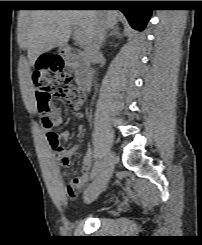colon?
Returning a JSON list of instances; mask_svg holds the SVG:
<instances>
[{
	"label": "colon",
	"mask_w": 202,
	"mask_h": 245,
	"mask_svg": "<svg viewBox=\"0 0 202 245\" xmlns=\"http://www.w3.org/2000/svg\"><path fill=\"white\" fill-rule=\"evenodd\" d=\"M33 82L36 107L44 126H50L53 122L51 111L54 96L65 100L71 113H77L81 109L80 95L69 81L66 64L57 55H45L36 63ZM48 142L55 152L62 150L55 132L50 133ZM70 190H73V187H70Z\"/></svg>",
	"instance_id": "obj_1"
}]
</instances>
